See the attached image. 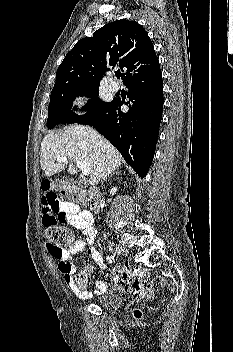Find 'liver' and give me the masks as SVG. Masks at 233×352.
I'll return each instance as SVG.
<instances>
[{
  "mask_svg": "<svg viewBox=\"0 0 233 352\" xmlns=\"http://www.w3.org/2000/svg\"><path fill=\"white\" fill-rule=\"evenodd\" d=\"M57 157H67L66 162L55 163ZM86 161L90 164L91 185L115 171L122 164L118 150L95 130L83 125L66 127L57 134H48L41 143V169L47 177L67 168L74 175L78 169L72 161Z\"/></svg>",
  "mask_w": 233,
  "mask_h": 352,
  "instance_id": "6515ba94",
  "label": "liver"
}]
</instances>
